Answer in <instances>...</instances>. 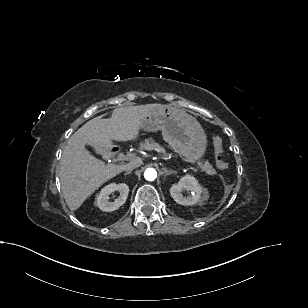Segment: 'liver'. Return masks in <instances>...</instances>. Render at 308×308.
<instances>
[{
  "instance_id": "6515ba94",
  "label": "liver",
  "mask_w": 308,
  "mask_h": 308,
  "mask_svg": "<svg viewBox=\"0 0 308 308\" xmlns=\"http://www.w3.org/2000/svg\"><path fill=\"white\" fill-rule=\"evenodd\" d=\"M161 104L116 108L111 118L95 117L86 122L68 140L60 163L59 177L69 209L77 210L103 183L125 170L127 165H105L85 148L90 145L105 151L112 141H130L138 137L141 120ZM131 163L141 164L137 159Z\"/></svg>"
}]
</instances>
